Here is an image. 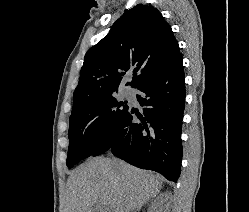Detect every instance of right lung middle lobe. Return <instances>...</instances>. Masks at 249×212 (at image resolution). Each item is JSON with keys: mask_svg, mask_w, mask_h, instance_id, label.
I'll return each instance as SVG.
<instances>
[{"mask_svg": "<svg viewBox=\"0 0 249 212\" xmlns=\"http://www.w3.org/2000/svg\"><path fill=\"white\" fill-rule=\"evenodd\" d=\"M126 103L118 102L114 95H110L72 109L66 161L69 168L85 158L99 155L110 130L128 110Z\"/></svg>", "mask_w": 249, "mask_h": 212, "instance_id": "dd1d6c3e", "label": "right lung middle lobe"}]
</instances>
